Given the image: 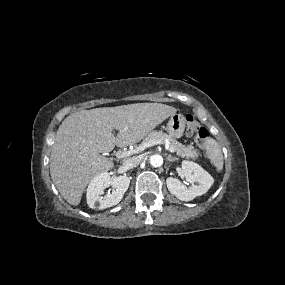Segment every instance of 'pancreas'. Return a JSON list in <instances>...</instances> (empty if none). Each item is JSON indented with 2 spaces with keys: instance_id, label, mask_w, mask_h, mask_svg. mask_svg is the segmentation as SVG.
I'll return each mask as SVG.
<instances>
[{
  "instance_id": "obj_1",
  "label": "pancreas",
  "mask_w": 285,
  "mask_h": 285,
  "mask_svg": "<svg viewBox=\"0 0 285 285\" xmlns=\"http://www.w3.org/2000/svg\"><path fill=\"white\" fill-rule=\"evenodd\" d=\"M156 139H160L163 142L168 141L170 147L174 148L177 155L182 158L197 160L201 155L200 152L195 149L192 145L185 146L179 143L174 138L169 135L163 133L162 131H152L143 141V143H147Z\"/></svg>"
}]
</instances>
